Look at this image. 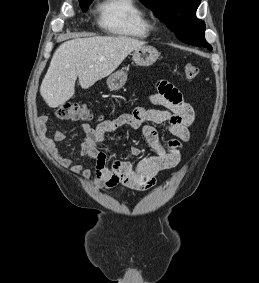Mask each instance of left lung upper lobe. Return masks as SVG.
<instances>
[{
	"label": "left lung upper lobe",
	"mask_w": 259,
	"mask_h": 283,
	"mask_svg": "<svg viewBox=\"0 0 259 283\" xmlns=\"http://www.w3.org/2000/svg\"><path fill=\"white\" fill-rule=\"evenodd\" d=\"M141 1L175 32L180 41L198 47H211L204 38V22L196 18V10L201 0Z\"/></svg>",
	"instance_id": "obj_1"
}]
</instances>
